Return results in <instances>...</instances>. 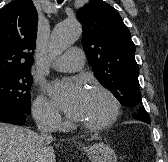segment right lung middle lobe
<instances>
[{
	"mask_svg": "<svg viewBox=\"0 0 168 162\" xmlns=\"http://www.w3.org/2000/svg\"><path fill=\"white\" fill-rule=\"evenodd\" d=\"M31 84L30 71L0 76V110L29 114Z\"/></svg>",
	"mask_w": 168,
	"mask_h": 162,
	"instance_id": "obj_1",
	"label": "right lung middle lobe"
}]
</instances>
